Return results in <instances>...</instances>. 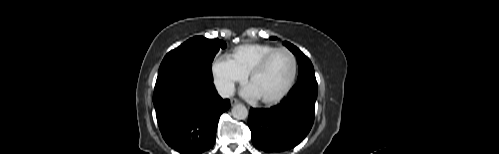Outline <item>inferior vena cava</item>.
I'll return each mask as SVG.
<instances>
[{
  "label": "inferior vena cava",
  "mask_w": 499,
  "mask_h": 154,
  "mask_svg": "<svg viewBox=\"0 0 499 154\" xmlns=\"http://www.w3.org/2000/svg\"><path fill=\"white\" fill-rule=\"evenodd\" d=\"M218 93L222 98L230 97L234 94L235 88L231 84H225L217 87Z\"/></svg>",
  "instance_id": "1"
}]
</instances>
